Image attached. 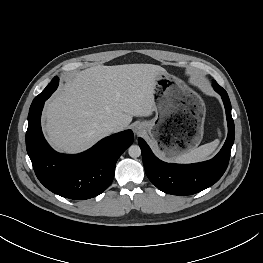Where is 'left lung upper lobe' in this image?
<instances>
[{
    "label": "left lung upper lobe",
    "mask_w": 263,
    "mask_h": 263,
    "mask_svg": "<svg viewBox=\"0 0 263 263\" xmlns=\"http://www.w3.org/2000/svg\"><path fill=\"white\" fill-rule=\"evenodd\" d=\"M213 84H217V82H216V81H213Z\"/></svg>",
    "instance_id": "5c2ea615"
}]
</instances>
